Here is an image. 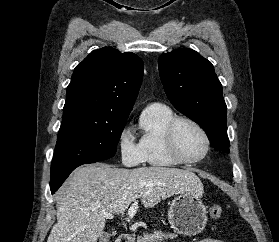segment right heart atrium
<instances>
[{
    "instance_id": "d8ad5b80",
    "label": "right heart atrium",
    "mask_w": 279,
    "mask_h": 242,
    "mask_svg": "<svg viewBox=\"0 0 279 242\" xmlns=\"http://www.w3.org/2000/svg\"><path fill=\"white\" fill-rule=\"evenodd\" d=\"M121 162L127 167H134L144 162L139 146L128 129H123L117 139Z\"/></svg>"
}]
</instances>
